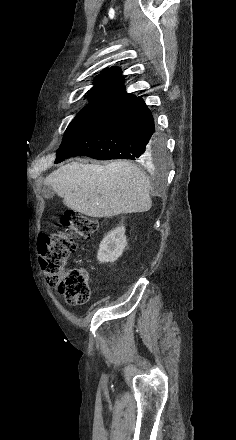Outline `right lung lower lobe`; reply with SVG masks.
I'll list each match as a JSON object with an SVG mask.
<instances>
[{"mask_svg": "<svg viewBox=\"0 0 236 440\" xmlns=\"http://www.w3.org/2000/svg\"><path fill=\"white\" fill-rule=\"evenodd\" d=\"M155 124L141 97L115 107L59 147L55 163L73 156L146 162L155 147Z\"/></svg>", "mask_w": 236, "mask_h": 440, "instance_id": "98d812e1", "label": "right lung lower lobe"}]
</instances>
